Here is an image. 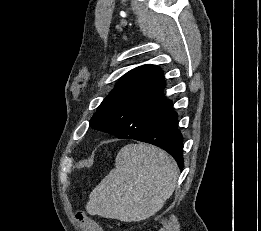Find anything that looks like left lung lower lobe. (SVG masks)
Listing matches in <instances>:
<instances>
[{
  "label": "left lung lower lobe",
  "mask_w": 261,
  "mask_h": 231,
  "mask_svg": "<svg viewBox=\"0 0 261 231\" xmlns=\"http://www.w3.org/2000/svg\"><path fill=\"white\" fill-rule=\"evenodd\" d=\"M177 125V113L173 110V105L171 103L150 123L142 135L126 139H135L162 148L172 155L182 170L184 167L183 139Z\"/></svg>",
  "instance_id": "left-lung-lower-lobe-1"
}]
</instances>
